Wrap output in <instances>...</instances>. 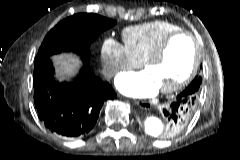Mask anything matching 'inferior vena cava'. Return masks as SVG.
<instances>
[{"mask_svg":"<svg viewBox=\"0 0 240 160\" xmlns=\"http://www.w3.org/2000/svg\"><path fill=\"white\" fill-rule=\"evenodd\" d=\"M115 73H116L115 68H104L102 70V74L104 75L105 78H111Z\"/></svg>","mask_w":240,"mask_h":160,"instance_id":"obj_1","label":"inferior vena cava"}]
</instances>
